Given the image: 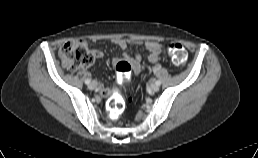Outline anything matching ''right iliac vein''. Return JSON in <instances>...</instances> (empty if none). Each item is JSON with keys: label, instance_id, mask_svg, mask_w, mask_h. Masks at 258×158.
<instances>
[{"label": "right iliac vein", "instance_id": "1", "mask_svg": "<svg viewBox=\"0 0 258 158\" xmlns=\"http://www.w3.org/2000/svg\"><path fill=\"white\" fill-rule=\"evenodd\" d=\"M88 88H89L90 90L95 89V88H96V83H95L94 81L91 82V83L88 85Z\"/></svg>", "mask_w": 258, "mask_h": 158}]
</instances>
